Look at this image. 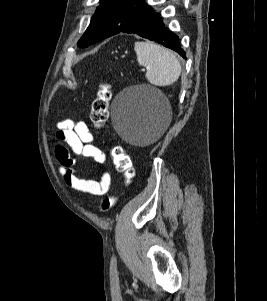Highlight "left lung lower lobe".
Segmentation results:
<instances>
[{
    "label": "left lung lower lobe",
    "instance_id": "left-lung-lower-lobe-1",
    "mask_svg": "<svg viewBox=\"0 0 267 301\" xmlns=\"http://www.w3.org/2000/svg\"><path fill=\"white\" fill-rule=\"evenodd\" d=\"M122 32L128 34H137L141 37L155 41L178 52L183 58H185V52L181 48V43L178 36L165 27L162 18L155 11H153L144 20L128 27Z\"/></svg>",
    "mask_w": 267,
    "mask_h": 301
}]
</instances>
